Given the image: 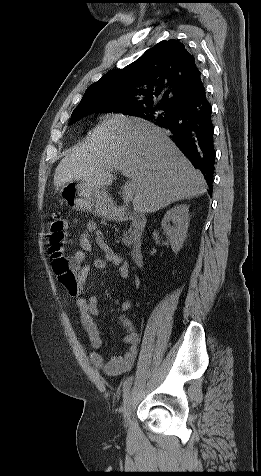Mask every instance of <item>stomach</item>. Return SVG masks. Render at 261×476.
Masks as SVG:
<instances>
[{
    "instance_id": "0dacf381",
    "label": "stomach",
    "mask_w": 261,
    "mask_h": 476,
    "mask_svg": "<svg viewBox=\"0 0 261 476\" xmlns=\"http://www.w3.org/2000/svg\"><path fill=\"white\" fill-rule=\"evenodd\" d=\"M61 194L72 209L105 218H111L114 214L113 202L104 187H96L85 181H73L61 188Z\"/></svg>"
}]
</instances>
